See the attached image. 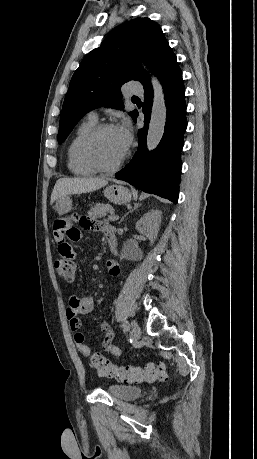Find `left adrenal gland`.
I'll return each mask as SVG.
<instances>
[{
  "mask_svg": "<svg viewBox=\"0 0 257 459\" xmlns=\"http://www.w3.org/2000/svg\"><path fill=\"white\" fill-rule=\"evenodd\" d=\"M139 206H141V204L139 203H135L134 204V207L132 208L131 206L128 207L129 211L121 218V220L119 221V224H121L124 220V218L131 212H133L134 210H136Z\"/></svg>",
  "mask_w": 257,
  "mask_h": 459,
  "instance_id": "a2214340",
  "label": "left adrenal gland"
}]
</instances>
